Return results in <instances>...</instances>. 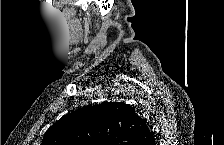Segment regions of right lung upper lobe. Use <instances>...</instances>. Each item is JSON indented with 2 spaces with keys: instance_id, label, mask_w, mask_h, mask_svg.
<instances>
[{
  "instance_id": "cb5924a9",
  "label": "right lung upper lobe",
  "mask_w": 224,
  "mask_h": 145,
  "mask_svg": "<svg viewBox=\"0 0 224 145\" xmlns=\"http://www.w3.org/2000/svg\"><path fill=\"white\" fill-rule=\"evenodd\" d=\"M41 145H156L145 121L123 102H104L63 116Z\"/></svg>"
}]
</instances>
